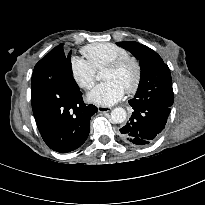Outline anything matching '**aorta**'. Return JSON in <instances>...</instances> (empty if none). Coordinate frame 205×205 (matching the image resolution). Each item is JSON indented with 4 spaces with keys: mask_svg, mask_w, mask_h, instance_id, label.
<instances>
[{
    "mask_svg": "<svg viewBox=\"0 0 205 205\" xmlns=\"http://www.w3.org/2000/svg\"><path fill=\"white\" fill-rule=\"evenodd\" d=\"M127 113L123 108H115L111 111V120L116 124L123 123L126 120Z\"/></svg>",
    "mask_w": 205,
    "mask_h": 205,
    "instance_id": "aorta-1",
    "label": "aorta"
}]
</instances>
